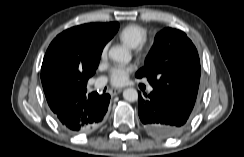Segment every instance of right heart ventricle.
Listing matches in <instances>:
<instances>
[{"label": "right heart ventricle", "mask_w": 244, "mask_h": 157, "mask_svg": "<svg viewBox=\"0 0 244 157\" xmlns=\"http://www.w3.org/2000/svg\"><path fill=\"white\" fill-rule=\"evenodd\" d=\"M147 36V29L138 24L126 25L119 32L120 40L131 48L139 46L146 40Z\"/></svg>", "instance_id": "1"}]
</instances>
